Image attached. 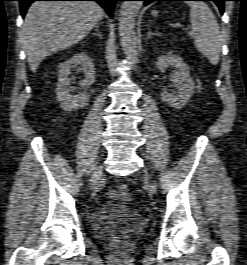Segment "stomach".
Segmentation results:
<instances>
[{"label": "stomach", "instance_id": "1", "mask_svg": "<svg viewBox=\"0 0 247 265\" xmlns=\"http://www.w3.org/2000/svg\"><path fill=\"white\" fill-rule=\"evenodd\" d=\"M152 14H153V15H156V14H157V12H156V11H153V12H152Z\"/></svg>", "mask_w": 247, "mask_h": 265}]
</instances>
